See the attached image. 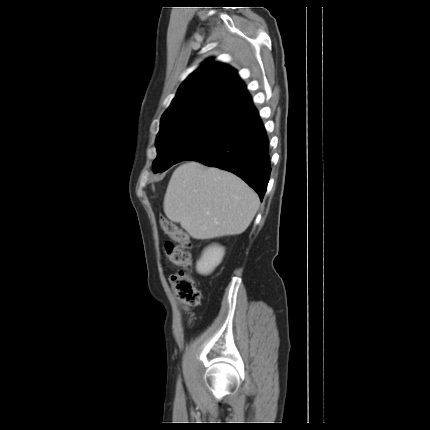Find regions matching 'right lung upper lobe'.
<instances>
[{"label": "right lung upper lobe", "mask_w": 430, "mask_h": 430, "mask_svg": "<svg viewBox=\"0 0 430 430\" xmlns=\"http://www.w3.org/2000/svg\"><path fill=\"white\" fill-rule=\"evenodd\" d=\"M211 60L208 59L181 84L163 116L215 100L224 101L240 117L253 107L248 93H242L245 86L237 72L230 66Z\"/></svg>", "instance_id": "right-lung-upper-lobe-1"}]
</instances>
